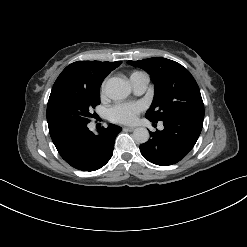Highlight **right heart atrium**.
<instances>
[{"label": "right heart atrium", "instance_id": "d8ad5b80", "mask_svg": "<svg viewBox=\"0 0 247 247\" xmlns=\"http://www.w3.org/2000/svg\"><path fill=\"white\" fill-rule=\"evenodd\" d=\"M105 85H106V81H104L102 84H101V96H103L105 94Z\"/></svg>", "mask_w": 247, "mask_h": 247}]
</instances>
